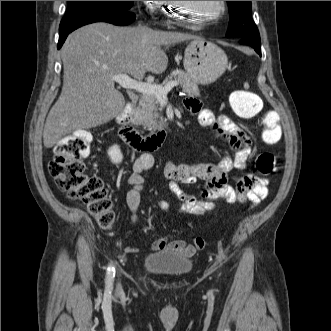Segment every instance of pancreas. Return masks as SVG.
<instances>
[{"mask_svg": "<svg viewBox=\"0 0 331 331\" xmlns=\"http://www.w3.org/2000/svg\"><path fill=\"white\" fill-rule=\"evenodd\" d=\"M175 79L182 87L183 91L189 96H200V91L196 82L182 70H176L168 76L161 86L166 85ZM158 98L153 94H143L140 98L138 106L135 108L131 122L134 125H142L149 131H154L161 127L158 121L159 117Z\"/></svg>", "mask_w": 331, "mask_h": 331, "instance_id": "cf45deb5", "label": "pancreas"}]
</instances>
